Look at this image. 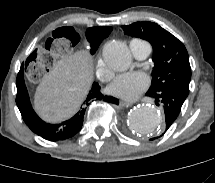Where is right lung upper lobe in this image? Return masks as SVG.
I'll use <instances>...</instances> for the list:
<instances>
[{
	"label": "right lung upper lobe",
	"instance_id": "cb5924a9",
	"mask_svg": "<svg viewBox=\"0 0 215 183\" xmlns=\"http://www.w3.org/2000/svg\"><path fill=\"white\" fill-rule=\"evenodd\" d=\"M67 30L70 29V27H65ZM95 30L102 33L105 37H107L110 32L112 31L111 27H94Z\"/></svg>",
	"mask_w": 215,
	"mask_h": 183
}]
</instances>
